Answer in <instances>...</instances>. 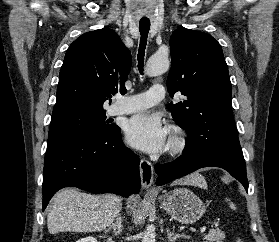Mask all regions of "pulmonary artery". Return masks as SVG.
I'll return each mask as SVG.
<instances>
[{
  "mask_svg": "<svg viewBox=\"0 0 279 242\" xmlns=\"http://www.w3.org/2000/svg\"><path fill=\"white\" fill-rule=\"evenodd\" d=\"M164 87L162 85L156 84L150 87L146 92L121 97L117 102L110 108V115H123L135 113L155 104L161 102L164 98Z\"/></svg>",
  "mask_w": 279,
  "mask_h": 242,
  "instance_id": "e3ab8cb5",
  "label": "pulmonary artery"
}]
</instances>
